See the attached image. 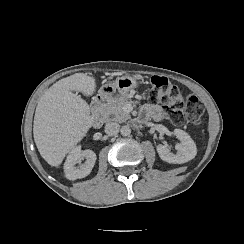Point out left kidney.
Wrapping results in <instances>:
<instances>
[{"label": "left kidney", "mask_w": 244, "mask_h": 244, "mask_svg": "<svg viewBox=\"0 0 244 244\" xmlns=\"http://www.w3.org/2000/svg\"><path fill=\"white\" fill-rule=\"evenodd\" d=\"M174 135L180 140V143L175 146L177 153L173 154L167 146L159 144L157 152L160 158L174 164H182L192 160L197 154L196 144L193 139L181 129H174Z\"/></svg>", "instance_id": "left-kidney-1"}]
</instances>
